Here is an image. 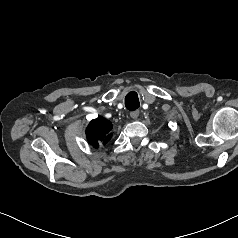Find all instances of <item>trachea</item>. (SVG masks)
Masks as SVG:
<instances>
[{
	"mask_svg": "<svg viewBox=\"0 0 238 238\" xmlns=\"http://www.w3.org/2000/svg\"><path fill=\"white\" fill-rule=\"evenodd\" d=\"M125 106L128 110L133 111L139 108L140 103L135 91L129 92L125 97Z\"/></svg>",
	"mask_w": 238,
	"mask_h": 238,
	"instance_id": "trachea-1",
	"label": "trachea"
}]
</instances>
